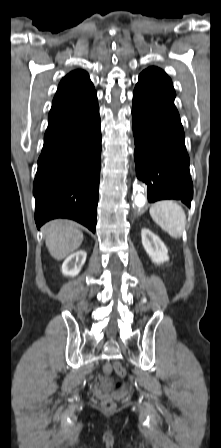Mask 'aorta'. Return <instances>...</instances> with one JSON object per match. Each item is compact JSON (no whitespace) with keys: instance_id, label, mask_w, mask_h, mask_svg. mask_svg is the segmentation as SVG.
I'll use <instances>...</instances> for the list:
<instances>
[{"instance_id":"obj_1","label":"aorta","mask_w":221,"mask_h":448,"mask_svg":"<svg viewBox=\"0 0 221 448\" xmlns=\"http://www.w3.org/2000/svg\"><path fill=\"white\" fill-rule=\"evenodd\" d=\"M135 203L139 207L144 206L146 203V197L143 194H137L135 196Z\"/></svg>"}]
</instances>
